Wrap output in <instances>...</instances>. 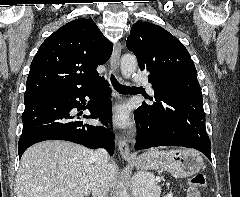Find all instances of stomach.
Here are the masks:
<instances>
[{
  "mask_svg": "<svg viewBox=\"0 0 240 197\" xmlns=\"http://www.w3.org/2000/svg\"><path fill=\"white\" fill-rule=\"evenodd\" d=\"M131 164L140 170H150L160 167L175 177L182 178L198 173L203 167V160L199 153L193 150L169 152L150 150L131 161ZM135 190L138 196L142 195L139 187H136Z\"/></svg>",
  "mask_w": 240,
  "mask_h": 197,
  "instance_id": "1",
  "label": "stomach"
}]
</instances>
